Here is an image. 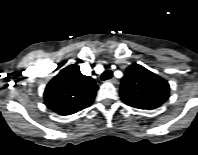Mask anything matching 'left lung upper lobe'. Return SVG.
I'll use <instances>...</instances> for the list:
<instances>
[{"instance_id":"left-lung-upper-lobe-1","label":"left lung upper lobe","mask_w":198,"mask_h":155,"mask_svg":"<svg viewBox=\"0 0 198 155\" xmlns=\"http://www.w3.org/2000/svg\"><path fill=\"white\" fill-rule=\"evenodd\" d=\"M169 84L166 80L135 64L127 68L121 79L122 101L139 109H155L169 98Z\"/></svg>"}]
</instances>
